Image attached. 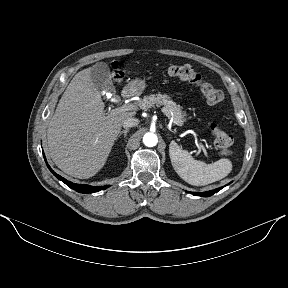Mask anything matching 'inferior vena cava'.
<instances>
[{"mask_svg":"<svg viewBox=\"0 0 288 288\" xmlns=\"http://www.w3.org/2000/svg\"><path fill=\"white\" fill-rule=\"evenodd\" d=\"M138 124H139V119L135 117H129L123 122V127L127 129V128L137 126Z\"/></svg>","mask_w":288,"mask_h":288,"instance_id":"602c4592","label":"inferior vena cava"}]
</instances>
